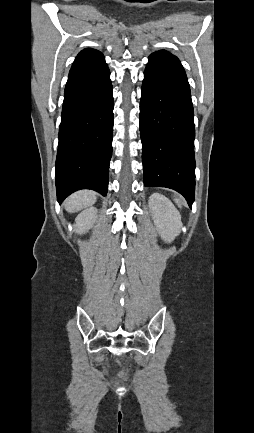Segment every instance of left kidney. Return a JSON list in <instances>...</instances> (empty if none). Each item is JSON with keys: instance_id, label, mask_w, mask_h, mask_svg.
I'll return each mask as SVG.
<instances>
[{"instance_id": "5707ae66", "label": "left kidney", "mask_w": 254, "mask_h": 433, "mask_svg": "<svg viewBox=\"0 0 254 433\" xmlns=\"http://www.w3.org/2000/svg\"><path fill=\"white\" fill-rule=\"evenodd\" d=\"M152 218L161 237L171 242L181 232V216L172 202L159 193H153L148 201Z\"/></svg>"}]
</instances>
